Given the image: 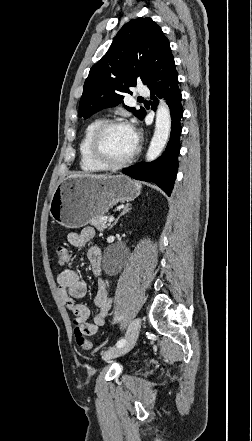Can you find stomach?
<instances>
[{"label":"stomach","instance_id":"0dacf381","mask_svg":"<svg viewBox=\"0 0 252 441\" xmlns=\"http://www.w3.org/2000/svg\"><path fill=\"white\" fill-rule=\"evenodd\" d=\"M141 184L124 175L68 177L54 190L49 211L66 228H79L99 218L118 202L139 196Z\"/></svg>","mask_w":252,"mask_h":441}]
</instances>
